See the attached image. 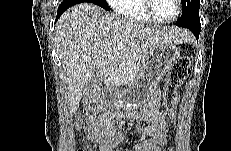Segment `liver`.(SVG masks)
Here are the masks:
<instances>
[{
    "label": "liver",
    "instance_id": "1",
    "mask_svg": "<svg viewBox=\"0 0 231 151\" xmlns=\"http://www.w3.org/2000/svg\"><path fill=\"white\" fill-rule=\"evenodd\" d=\"M190 39L187 30L151 27L92 3L70 7L59 18L54 39L67 77L70 112L78 109L84 88L96 70L100 77L113 79L154 48ZM118 43L123 48L118 49Z\"/></svg>",
    "mask_w": 231,
    "mask_h": 151
}]
</instances>
